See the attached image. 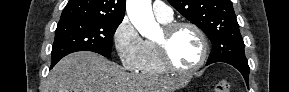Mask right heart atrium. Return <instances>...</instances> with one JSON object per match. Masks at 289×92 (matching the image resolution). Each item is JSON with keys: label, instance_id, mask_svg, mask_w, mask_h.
Returning a JSON list of instances; mask_svg holds the SVG:
<instances>
[{"label": "right heart atrium", "instance_id": "1", "mask_svg": "<svg viewBox=\"0 0 289 92\" xmlns=\"http://www.w3.org/2000/svg\"><path fill=\"white\" fill-rule=\"evenodd\" d=\"M113 43L120 62L126 69L137 71L141 68L145 57V42L127 17L116 27Z\"/></svg>", "mask_w": 289, "mask_h": 92}]
</instances>
